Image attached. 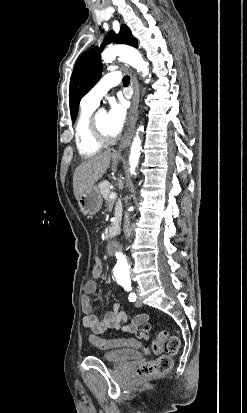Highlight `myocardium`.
Instances as JSON below:
<instances>
[{
  "mask_svg": "<svg viewBox=\"0 0 247 413\" xmlns=\"http://www.w3.org/2000/svg\"><path fill=\"white\" fill-rule=\"evenodd\" d=\"M95 120L92 121V135L94 140L101 146H110L114 143V137H107L103 134L100 126H94Z\"/></svg>",
  "mask_w": 247,
  "mask_h": 413,
  "instance_id": "obj_1",
  "label": "myocardium"
}]
</instances>
